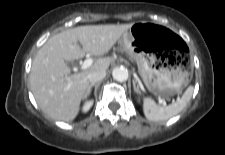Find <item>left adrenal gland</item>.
Listing matches in <instances>:
<instances>
[{"instance_id":"obj_1","label":"left adrenal gland","mask_w":225,"mask_h":155,"mask_svg":"<svg viewBox=\"0 0 225 155\" xmlns=\"http://www.w3.org/2000/svg\"><path fill=\"white\" fill-rule=\"evenodd\" d=\"M133 89H134L135 92H140L139 87L136 86V81L135 80H133Z\"/></svg>"}]
</instances>
